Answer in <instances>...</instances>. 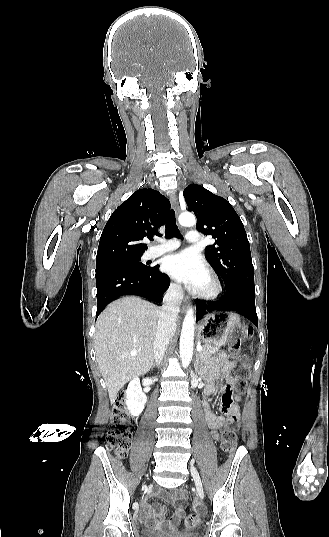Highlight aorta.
<instances>
[{
	"label": "aorta",
	"mask_w": 329,
	"mask_h": 537,
	"mask_svg": "<svg viewBox=\"0 0 329 537\" xmlns=\"http://www.w3.org/2000/svg\"><path fill=\"white\" fill-rule=\"evenodd\" d=\"M182 226L196 224L195 216L191 213H182L179 218ZM195 317L192 309H189L184 317L180 335V358L183 368L188 367L193 356Z\"/></svg>",
	"instance_id": "1"
}]
</instances>
